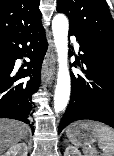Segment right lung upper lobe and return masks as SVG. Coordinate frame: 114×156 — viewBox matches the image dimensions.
Wrapping results in <instances>:
<instances>
[{"mask_svg":"<svg viewBox=\"0 0 114 156\" xmlns=\"http://www.w3.org/2000/svg\"><path fill=\"white\" fill-rule=\"evenodd\" d=\"M39 0H0V41L40 23Z\"/></svg>","mask_w":114,"mask_h":156,"instance_id":"cb5924a9","label":"right lung upper lobe"}]
</instances>
